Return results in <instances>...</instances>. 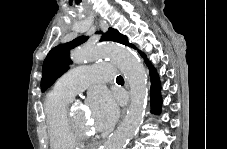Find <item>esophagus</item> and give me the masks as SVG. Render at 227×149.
Instances as JSON below:
<instances>
[{"mask_svg":"<svg viewBox=\"0 0 227 149\" xmlns=\"http://www.w3.org/2000/svg\"><path fill=\"white\" fill-rule=\"evenodd\" d=\"M120 119H125L126 117V111H121V114H120Z\"/></svg>","mask_w":227,"mask_h":149,"instance_id":"1","label":"esophagus"}]
</instances>
